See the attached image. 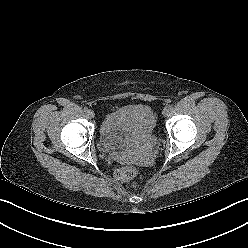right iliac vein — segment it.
<instances>
[{"mask_svg":"<svg viewBox=\"0 0 248 248\" xmlns=\"http://www.w3.org/2000/svg\"><path fill=\"white\" fill-rule=\"evenodd\" d=\"M87 115H88L89 118H94V117H95V113H94L93 110H89V111L87 112Z\"/></svg>","mask_w":248,"mask_h":248,"instance_id":"1","label":"right iliac vein"}]
</instances>
